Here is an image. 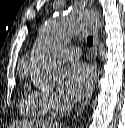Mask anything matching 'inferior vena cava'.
<instances>
[{"label":"inferior vena cava","mask_w":125,"mask_h":128,"mask_svg":"<svg viewBox=\"0 0 125 128\" xmlns=\"http://www.w3.org/2000/svg\"><path fill=\"white\" fill-rule=\"evenodd\" d=\"M67 109L70 110L71 109V105L68 103L67 104Z\"/></svg>","instance_id":"obj_1"}]
</instances>
